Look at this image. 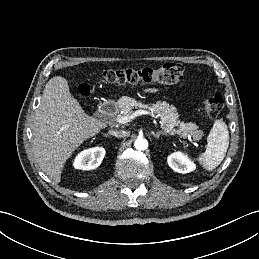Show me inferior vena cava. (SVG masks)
I'll list each match as a JSON object with an SVG mask.
<instances>
[{
  "label": "inferior vena cava",
  "instance_id": "inferior-vena-cava-1",
  "mask_svg": "<svg viewBox=\"0 0 259 259\" xmlns=\"http://www.w3.org/2000/svg\"><path fill=\"white\" fill-rule=\"evenodd\" d=\"M109 134L118 137V138H122L126 136V132L122 131V130H116V131H109Z\"/></svg>",
  "mask_w": 259,
  "mask_h": 259
}]
</instances>
